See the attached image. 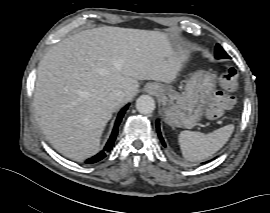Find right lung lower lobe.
<instances>
[{
    "label": "right lung lower lobe",
    "mask_w": 270,
    "mask_h": 213,
    "mask_svg": "<svg viewBox=\"0 0 270 213\" xmlns=\"http://www.w3.org/2000/svg\"><path fill=\"white\" fill-rule=\"evenodd\" d=\"M129 105H126L118 114V117H117V120H116V123H115V126H114V129L112 131V134L106 144V146L104 147V149L98 153L97 155L89 158L86 163H95V162H98L100 161L101 159H103L105 156H106V153L109 152L111 149H112V146L114 144V141L116 139V136L118 134V126L122 120V117L124 116V113L125 111L127 110Z\"/></svg>",
    "instance_id": "obj_1"
}]
</instances>
